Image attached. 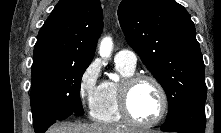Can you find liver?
Wrapping results in <instances>:
<instances>
[{
	"instance_id": "6515ba94",
	"label": "liver",
	"mask_w": 221,
	"mask_h": 133,
	"mask_svg": "<svg viewBox=\"0 0 221 133\" xmlns=\"http://www.w3.org/2000/svg\"><path fill=\"white\" fill-rule=\"evenodd\" d=\"M140 130L101 123H70L53 125L47 133H140Z\"/></svg>"
}]
</instances>
